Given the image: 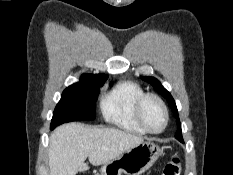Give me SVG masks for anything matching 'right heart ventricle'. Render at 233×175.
I'll return each instance as SVG.
<instances>
[{
  "instance_id": "1",
  "label": "right heart ventricle",
  "mask_w": 233,
  "mask_h": 175,
  "mask_svg": "<svg viewBox=\"0 0 233 175\" xmlns=\"http://www.w3.org/2000/svg\"><path fill=\"white\" fill-rule=\"evenodd\" d=\"M143 88L132 80L118 82L100 101L103 118L115 127L138 135L146 131L139 125L134 113L136 100L144 94Z\"/></svg>"
}]
</instances>
